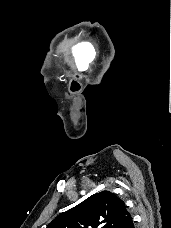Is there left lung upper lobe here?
<instances>
[{"instance_id":"1","label":"left lung upper lobe","mask_w":171,"mask_h":228,"mask_svg":"<svg viewBox=\"0 0 171 228\" xmlns=\"http://www.w3.org/2000/svg\"><path fill=\"white\" fill-rule=\"evenodd\" d=\"M131 218L115 193H96L54 219L47 228H122Z\"/></svg>"}]
</instances>
